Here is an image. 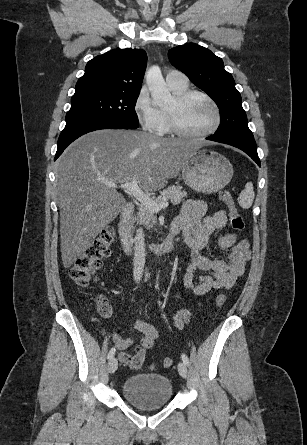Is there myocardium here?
<instances>
[{"label": "myocardium", "instance_id": "myocardium-1", "mask_svg": "<svg viewBox=\"0 0 307 445\" xmlns=\"http://www.w3.org/2000/svg\"><path fill=\"white\" fill-rule=\"evenodd\" d=\"M194 97L201 98L212 105L216 113V122L214 126L203 132H190L181 126L173 112L165 110L167 126L172 133L178 136L170 139H204L216 133L221 128L223 124V111L220 105L208 94L198 90H186L181 94H175L172 99L176 106H181Z\"/></svg>", "mask_w": 307, "mask_h": 445}]
</instances>
